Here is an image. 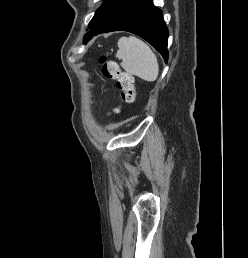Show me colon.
Masks as SVG:
<instances>
[{
    "instance_id": "colon-1",
    "label": "colon",
    "mask_w": 248,
    "mask_h": 258,
    "mask_svg": "<svg viewBox=\"0 0 248 258\" xmlns=\"http://www.w3.org/2000/svg\"><path fill=\"white\" fill-rule=\"evenodd\" d=\"M101 72L104 77L116 81L121 101L123 103H133L136 96L134 78L129 72L123 71L118 62L105 57L100 59ZM115 113L120 112V108L114 109Z\"/></svg>"
}]
</instances>
